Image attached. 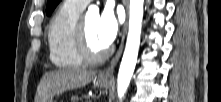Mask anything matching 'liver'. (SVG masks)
I'll use <instances>...</instances> for the list:
<instances>
[{
    "label": "liver",
    "instance_id": "liver-1",
    "mask_svg": "<svg viewBox=\"0 0 221 102\" xmlns=\"http://www.w3.org/2000/svg\"><path fill=\"white\" fill-rule=\"evenodd\" d=\"M95 76V71L80 68L61 69L46 73L37 87L35 102H48L56 94L86 86Z\"/></svg>",
    "mask_w": 221,
    "mask_h": 102
}]
</instances>
